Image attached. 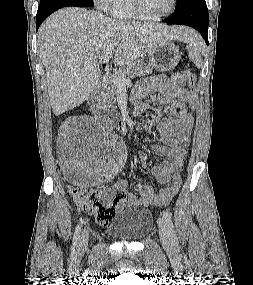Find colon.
<instances>
[{
    "mask_svg": "<svg viewBox=\"0 0 253 285\" xmlns=\"http://www.w3.org/2000/svg\"><path fill=\"white\" fill-rule=\"evenodd\" d=\"M183 76L190 90H193L196 85V76L190 70H185ZM194 98L191 99V106L194 107ZM58 172H65V161L60 158L58 161ZM62 180L70 182L69 192L76 205L83 211L93 214L97 222L101 224L109 223L116 211L118 204L127 198V193L124 189L114 187L107 189H87L71 183L72 177L62 175Z\"/></svg>",
    "mask_w": 253,
    "mask_h": 285,
    "instance_id": "obj_1",
    "label": "colon"
}]
</instances>
